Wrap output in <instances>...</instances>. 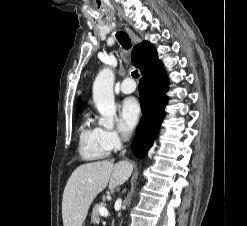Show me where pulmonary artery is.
Returning a JSON list of instances; mask_svg holds the SVG:
<instances>
[{"label": "pulmonary artery", "mask_w": 247, "mask_h": 226, "mask_svg": "<svg viewBox=\"0 0 247 226\" xmlns=\"http://www.w3.org/2000/svg\"><path fill=\"white\" fill-rule=\"evenodd\" d=\"M135 89H136V83L130 78L124 79L120 85V91L123 94H130L134 92Z\"/></svg>", "instance_id": "e3ab8cb5"}]
</instances>
